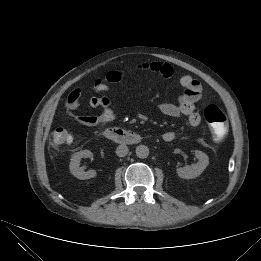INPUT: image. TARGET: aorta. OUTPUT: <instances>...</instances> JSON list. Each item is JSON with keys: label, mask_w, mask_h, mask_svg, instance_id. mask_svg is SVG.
I'll return each mask as SVG.
<instances>
[{"label": "aorta", "mask_w": 261, "mask_h": 261, "mask_svg": "<svg viewBox=\"0 0 261 261\" xmlns=\"http://www.w3.org/2000/svg\"><path fill=\"white\" fill-rule=\"evenodd\" d=\"M149 155V148L145 145H139L136 147V156L141 159L147 158Z\"/></svg>", "instance_id": "762f6f07"}]
</instances>
